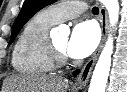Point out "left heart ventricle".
Returning a JSON list of instances; mask_svg holds the SVG:
<instances>
[{
    "instance_id": "b2bd125f",
    "label": "left heart ventricle",
    "mask_w": 127,
    "mask_h": 92,
    "mask_svg": "<svg viewBox=\"0 0 127 92\" xmlns=\"http://www.w3.org/2000/svg\"><path fill=\"white\" fill-rule=\"evenodd\" d=\"M53 41L55 45L61 50L64 51L66 50L67 42H68V36H58L53 38Z\"/></svg>"
}]
</instances>
